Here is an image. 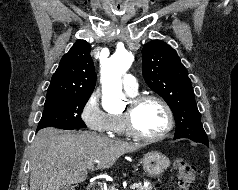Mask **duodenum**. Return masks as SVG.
<instances>
[{
	"instance_id": "410a0bca",
	"label": "duodenum",
	"mask_w": 238,
	"mask_h": 190,
	"mask_svg": "<svg viewBox=\"0 0 238 190\" xmlns=\"http://www.w3.org/2000/svg\"><path fill=\"white\" fill-rule=\"evenodd\" d=\"M88 190H103V186L98 182H94L89 185Z\"/></svg>"
}]
</instances>
